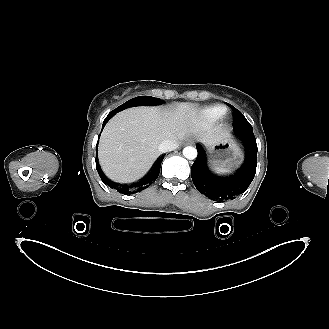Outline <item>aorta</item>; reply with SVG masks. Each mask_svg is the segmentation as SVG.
Returning a JSON list of instances; mask_svg holds the SVG:
<instances>
[{
    "label": "aorta",
    "instance_id": "obj_1",
    "mask_svg": "<svg viewBox=\"0 0 329 329\" xmlns=\"http://www.w3.org/2000/svg\"><path fill=\"white\" fill-rule=\"evenodd\" d=\"M183 155L189 160H193L197 157V150L192 146H187L183 149Z\"/></svg>",
    "mask_w": 329,
    "mask_h": 329
}]
</instances>
